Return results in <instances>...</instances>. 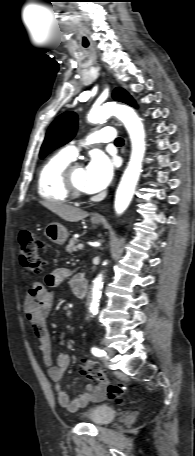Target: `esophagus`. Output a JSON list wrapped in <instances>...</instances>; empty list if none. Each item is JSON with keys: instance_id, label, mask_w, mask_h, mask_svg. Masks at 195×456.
<instances>
[{"instance_id": "esophagus-1", "label": "esophagus", "mask_w": 195, "mask_h": 456, "mask_svg": "<svg viewBox=\"0 0 195 456\" xmlns=\"http://www.w3.org/2000/svg\"><path fill=\"white\" fill-rule=\"evenodd\" d=\"M125 150L126 149L124 148L123 151L125 152ZM92 218L95 219V220H103L104 219V217L101 214H99V213L94 214Z\"/></svg>"}]
</instances>
